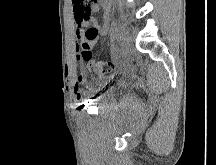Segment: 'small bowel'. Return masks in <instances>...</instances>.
Here are the masks:
<instances>
[{
    "instance_id": "1",
    "label": "small bowel",
    "mask_w": 216,
    "mask_h": 165,
    "mask_svg": "<svg viewBox=\"0 0 216 165\" xmlns=\"http://www.w3.org/2000/svg\"><path fill=\"white\" fill-rule=\"evenodd\" d=\"M100 2L101 0H92V2H76L75 0H72L73 4V17L74 21L76 24V31L75 35L77 40L83 41L85 40V32L87 29H89L90 24L92 23L93 26L98 29V36L91 41V47L95 44L97 41L99 35H104L107 31L108 28V23H107V14H108V9L105 7V16H104V22L103 24H99L94 18L90 17L89 18H83L81 17V13H95L100 10ZM86 29V30H85ZM81 79H77L76 85L74 87V94L77 99H80L81 97V91L78 87V84L81 83Z\"/></svg>"
}]
</instances>
